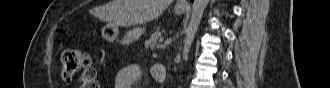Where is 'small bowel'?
<instances>
[{"label":"small bowel","instance_id":"c3829d8e","mask_svg":"<svg viewBox=\"0 0 330 88\" xmlns=\"http://www.w3.org/2000/svg\"><path fill=\"white\" fill-rule=\"evenodd\" d=\"M150 73L152 78L157 82H162L166 77V68L162 64H155L151 67ZM143 71L138 65H130L121 69L115 76V88H131L135 84H139L142 80Z\"/></svg>","mask_w":330,"mask_h":88}]
</instances>
